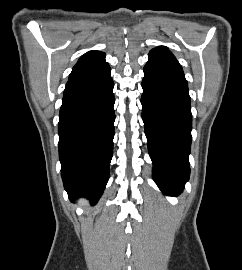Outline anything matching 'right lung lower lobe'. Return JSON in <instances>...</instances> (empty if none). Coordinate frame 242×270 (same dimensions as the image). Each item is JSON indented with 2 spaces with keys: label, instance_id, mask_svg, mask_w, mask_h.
Returning <instances> with one entry per match:
<instances>
[{
  "label": "right lung lower lobe",
  "instance_id": "obj_1",
  "mask_svg": "<svg viewBox=\"0 0 242 270\" xmlns=\"http://www.w3.org/2000/svg\"><path fill=\"white\" fill-rule=\"evenodd\" d=\"M111 69L103 60L69 78L59 114V158L71 200L97 202L109 179L115 114Z\"/></svg>",
  "mask_w": 242,
  "mask_h": 270
}]
</instances>
